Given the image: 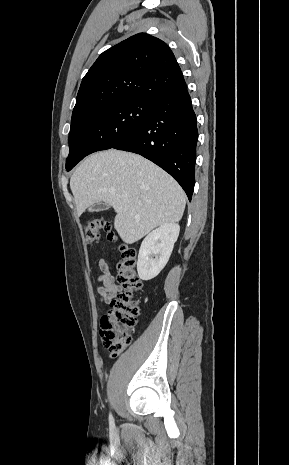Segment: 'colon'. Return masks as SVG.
I'll list each match as a JSON object with an SVG mask.
<instances>
[{
  "label": "colon",
  "instance_id": "5ec220e1",
  "mask_svg": "<svg viewBox=\"0 0 289 465\" xmlns=\"http://www.w3.org/2000/svg\"><path fill=\"white\" fill-rule=\"evenodd\" d=\"M102 230L108 232L110 240L116 239L107 221L93 218L83 227L85 243H95ZM120 250L117 280L123 290L110 302L100 321V337L112 357L118 356L131 342L139 314L135 293L142 287L136 274V251L127 245H121Z\"/></svg>",
  "mask_w": 289,
  "mask_h": 465
}]
</instances>
